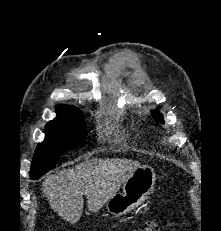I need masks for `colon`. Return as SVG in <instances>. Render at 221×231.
<instances>
[{
  "instance_id": "5ec220e1",
  "label": "colon",
  "mask_w": 221,
  "mask_h": 231,
  "mask_svg": "<svg viewBox=\"0 0 221 231\" xmlns=\"http://www.w3.org/2000/svg\"><path fill=\"white\" fill-rule=\"evenodd\" d=\"M161 223L156 220L147 221L139 231H160Z\"/></svg>"
}]
</instances>
